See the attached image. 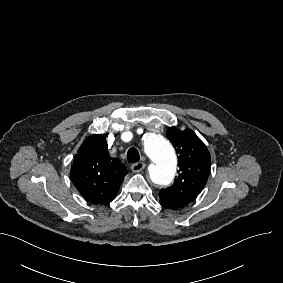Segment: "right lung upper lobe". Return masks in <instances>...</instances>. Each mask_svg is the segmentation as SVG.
Here are the masks:
<instances>
[{
  "label": "right lung upper lobe",
  "mask_w": 283,
  "mask_h": 283,
  "mask_svg": "<svg viewBox=\"0 0 283 283\" xmlns=\"http://www.w3.org/2000/svg\"><path fill=\"white\" fill-rule=\"evenodd\" d=\"M126 167L109 156L103 135H92L80 146L71 167V180L90 203L108 204L118 193Z\"/></svg>",
  "instance_id": "obj_1"
}]
</instances>
